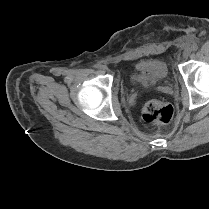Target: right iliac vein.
Masks as SVG:
<instances>
[{
  "label": "right iliac vein",
  "instance_id": "right-iliac-vein-1",
  "mask_svg": "<svg viewBox=\"0 0 209 209\" xmlns=\"http://www.w3.org/2000/svg\"><path fill=\"white\" fill-rule=\"evenodd\" d=\"M102 69H103V71H107L108 70L107 66H102Z\"/></svg>",
  "mask_w": 209,
  "mask_h": 209
}]
</instances>
